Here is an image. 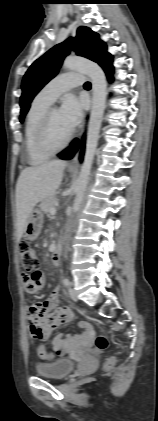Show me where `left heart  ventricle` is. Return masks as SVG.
Listing matches in <instances>:
<instances>
[{"label":"left heart ventricle","mask_w":158,"mask_h":421,"mask_svg":"<svg viewBox=\"0 0 158 421\" xmlns=\"http://www.w3.org/2000/svg\"><path fill=\"white\" fill-rule=\"evenodd\" d=\"M71 131L63 123L58 109H53L50 121V134L55 144H60L65 140Z\"/></svg>","instance_id":"left-heart-ventricle-1"}]
</instances>
